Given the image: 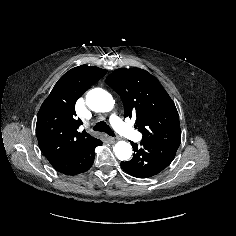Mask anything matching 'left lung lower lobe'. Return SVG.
Masks as SVG:
<instances>
[{
    "label": "left lung lower lobe",
    "mask_w": 236,
    "mask_h": 236,
    "mask_svg": "<svg viewBox=\"0 0 236 236\" xmlns=\"http://www.w3.org/2000/svg\"><path fill=\"white\" fill-rule=\"evenodd\" d=\"M181 140L131 142L133 158L121 162L123 170L136 178H150L163 171L174 160Z\"/></svg>",
    "instance_id": "obj_1"
}]
</instances>
